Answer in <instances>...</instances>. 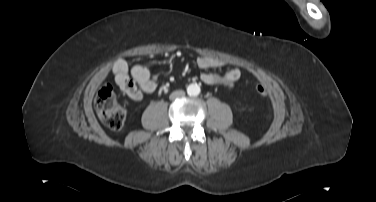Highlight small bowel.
Returning <instances> with one entry per match:
<instances>
[{
    "label": "small bowel",
    "mask_w": 376,
    "mask_h": 202,
    "mask_svg": "<svg viewBox=\"0 0 376 202\" xmlns=\"http://www.w3.org/2000/svg\"><path fill=\"white\" fill-rule=\"evenodd\" d=\"M196 63L202 70L223 68L228 64L225 60L212 56H201ZM112 71L116 85L133 101H139L143 93H151L157 87L158 77L146 66L136 65L130 68L124 59H118L115 61ZM240 77V69L232 67L223 73L204 72L201 75V81L207 85L230 86Z\"/></svg>",
    "instance_id": "obj_1"
}]
</instances>
